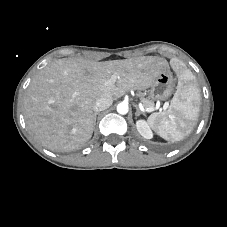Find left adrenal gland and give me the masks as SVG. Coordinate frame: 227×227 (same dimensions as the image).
Instances as JSON below:
<instances>
[{"instance_id":"left-adrenal-gland-1","label":"left adrenal gland","mask_w":227,"mask_h":227,"mask_svg":"<svg viewBox=\"0 0 227 227\" xmlns=\"http://www.w3.org/2000/svg\"><path fill=\"white\" fill-rule=\"evenodd\" d=\"M135 108H136V113H135V116H136V117L139 116L140 114H142V115L145 116V114H144L143 112L140 111V109L138 108L137 105H135Z\"/></svg>"}]
</instances>
